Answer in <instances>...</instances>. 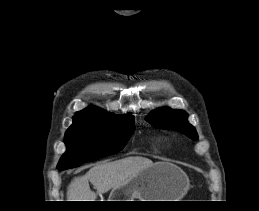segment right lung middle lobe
Instances as JSON below:
<instances>
[{
	"label": "right lung middle lobe",
	"instance_id": "obj_1",
	"mask_svg": "<svg viewBox=\"0 0 259 211\" xmlns=\"http://www.w3.org/2000/svg\"><path fill=\"white\" fill-rule=\"evenodd\" d=\"M134 117H73L65 133L66 153L57 168L65 170L122 150L134 132Z\"/></svg>",
	"mask_w": 259,
	"mask_h": 211
}]
</instances>
